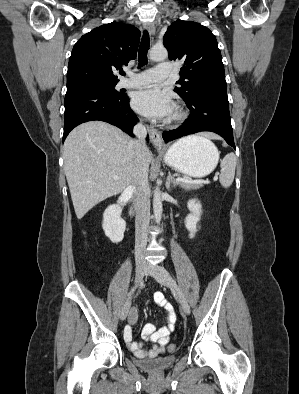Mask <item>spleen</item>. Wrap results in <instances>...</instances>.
Instances as JSON below:
<instances>
[{
  "instance_id": "obj_1",
  "label": "spleen",
  "mask_w": 299,
  "mask_h": 394,
  "mask_svg": "<svg viewBox=\"0 0 299 394\" xmlns=\"http://www.w3.org/2000/svg\"><path fill=\"white\" fill-rule=\"evenodd\" d=\"M198 138L211 142L210 140L197 136ZM237 164V159L234 153H228L220 163L221 173L219 176V181L222 187L228 188L232 185L234 176H235V168Z\"/></svg>"
}]
</instances>
